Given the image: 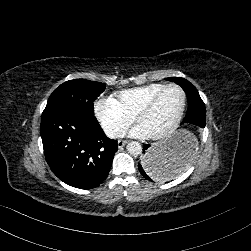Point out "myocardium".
<instances>
[{"mask_svg":"<svg viewBox=\"0 0 251 251\" xmlns=\"http://www.w3.org/2000/svg\"><path fill=\"white\" fill-rule=\"evenodd\" d=\"M177 89L182 92L184 96V102L182 106L181 113L178 117V119L170 126L166 127L165 129L159 131L158 133L155 134V137L157 138H163L166 137L172 133H174L183 123L186 111L188 108V103H189V97L187 91L180 85L171 83V84H166L164 87H162L159 91H157L144 105H142L136 112V117L138 118V115L142 112L149 111L151 110L159 100V98L162 96V94L167 91L168 89Z\"/></svg>","mask_w":251,"mask_h":251,"instance_id":"obj_1","label":"myocardium"}]
</instances>
